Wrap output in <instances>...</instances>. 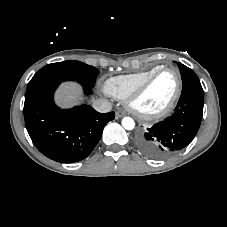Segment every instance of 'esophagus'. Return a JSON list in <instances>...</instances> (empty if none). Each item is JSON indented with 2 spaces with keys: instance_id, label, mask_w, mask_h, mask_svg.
Here are the masks:
<instances>
[{
  "instance_id": "1",
  "label": "esophagus",
  "mask_w": 227,
  "mask_h": 227,
  "mask_svg": "<svg viewBox=\"0 0 227 227\" xmlns=\"http://www.w3.org/2000/svg\"><path fill=\"white\" fill-rule=\"evenodd\" d=\"M125 116V112L122 110H119L116 112V118H122Z\"/></svg>"
}]
</instances>
